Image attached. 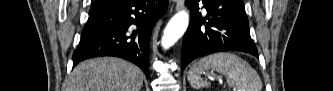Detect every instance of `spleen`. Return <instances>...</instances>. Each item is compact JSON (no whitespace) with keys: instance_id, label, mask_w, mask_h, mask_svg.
I'll list each match as a JSON object with an SVG mask.
<instances>
[{"instance_id":"1","label":"spleen","mask_w":333,"mask_h":91,"mask_svg":"<svg viewBox=\"0 0 333 91\" xmlns=\"http://www.w3.org/2000/svg\"><path fill=\"white\" fill-rule=\"evenodd\" d=\"M214 70L227 78L229 87L237 91H261L262 81L252 66L239 56L229 52H219L195 62L188 71L187 79L195 89L208 87L209 82L201 79L205 70Z\"/></svg>"}]
</instances>
